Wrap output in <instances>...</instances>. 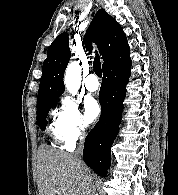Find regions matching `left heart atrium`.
Masks as SVG:
<instances>
[{"label":"left heart atrium","instance_id":"obj_1","mask_svg":"<svg viewBox=\"0 0 178 195\" xmlns=\"http://www.w3.org/2000/svg\"><path fill=\"white\" fill-rule=\"evenodd\" d=\"M85 120L88 124L94 122L100 114V105L93 97H88L84 101Z\"/></svg>","mask_w":178,"mask_h":195}]
</instances>
